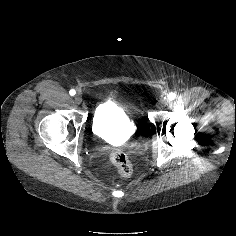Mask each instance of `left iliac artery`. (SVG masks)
<instances>
[{
    "label": "left iliac artery",
    "mask_w": 236,
    "mask_h": 236,
    "mask_svg": "<svg viewBox=\"0 0 236 236\" xmlns=\"http://www.w3.org/2000/svg\"><path fill=\"white\" fill-rule=\"evenodd\" d=\"M175 97H176V94L173 93V92L169 93V95H168V98H169L170 100H173Z\"/></svg>",
    "instance_id": "44dca946"
}]
</instances>
